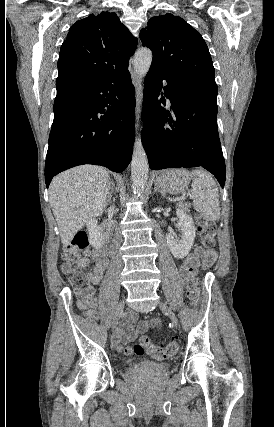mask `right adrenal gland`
Listing matches in <instances>:
<instances>
[{"instance_id": "1", "label": "right adrenal gland", "mask_w": 274, "mask_h": 427, "mask_svg": "<svg viewBox=\"0 0 274 427\" xmlns=\"http://www.w3.org/2000/svg\"><path fill=\"white\" fill-rule=\"evenodd\" d=\"M110 184H111V188H110L111 192H115V186H114L113 182H110ZM110 200H112V196H110V198H109V204H110ZM113 200H114V198H113Z\"/></svg>"}]
</instances>
